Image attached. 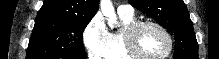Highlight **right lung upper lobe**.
Instances as JSON below:
<instances>
[{
    "instance_id": "obj_1",
    "label": "right lung upper lobe",
    "mask_w": 219,
    "mask_h": 59,
    "mask_svg": "<svg viewBox=\"0 0 219 59\" xmlns=\"http://www.w3.org/2000/svg\"><path fill=\"white\" fill-rule=\"evenodd\" d=\"M98 8L99 0H44L37 17L54 16L91 20Z\"/></svg>"
}]
</instances>
